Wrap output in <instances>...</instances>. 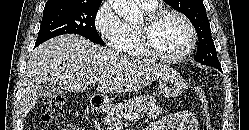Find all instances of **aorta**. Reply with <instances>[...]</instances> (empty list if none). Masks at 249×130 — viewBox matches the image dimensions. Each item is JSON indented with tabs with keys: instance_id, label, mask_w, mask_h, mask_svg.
Segmentation results:
<instances>
[{
	"instance_id": "762f6f07",
	"label": "aorta",
	"mask_w": 249,
	"mask_h": 130,
	"mask_svg": "<svg viewBox=\"0 0 249 130\" xmlns=\"http://www.w3.org/2000/svg\"><path fill=\"white\" fill-rule=\"evenodd\" d=\"M115 12L127 21L140 19L141 12L133 0H109Z\"/></svg>"
}]
</instances>
